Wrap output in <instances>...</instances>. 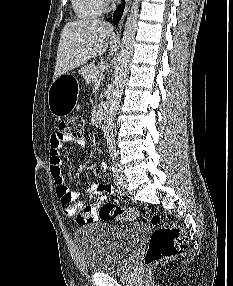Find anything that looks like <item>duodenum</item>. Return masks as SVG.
Returning a JSON list of instances; mask_svg holds the SVG:
<instances>
[{"instance_id": "1", "label": "duodenum", "mask_w": 233, "mask_h": 286, "mask_svg": "<svg viewBox=\"0 0 233 286\" xmlns=\"http://www.w3.org/2000/svg\"><path fill=\"white\" fill-rule=\"evenodd\" d=\"M99 125L101 128H105L107 122V116L105 109H101L98 114Z\"/></svg>"}]
</instances>
